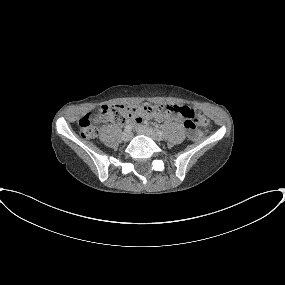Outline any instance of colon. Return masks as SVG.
Here are the masks:
<instances>
[{
  "instance_id": "colon-1",
  "label": "colon",
  "mask_w": 285,
  "mask_h": 285,
  "mask_svg": "<svg viewBox=\"0 0 285 285\" xmlns=\"http://www.w3.org/2000/svg\"><path fill=\"white\" fill-rule=\"evenodd\" d=\"M165 108L162 104H139L133 107H125L114 104H105L95 111H89L79 119V131L81 137L85 139L93 138L97 134V125L111 122H120L128 118L142 117L145 114H155L163 111ZM172 111L182 110L186 114L185 126L188 135L197 139L200 132L198 126H207L209 121L202 114H196L189 111L188 108L171 106Z\"/></svg>"
}]
</instances>
